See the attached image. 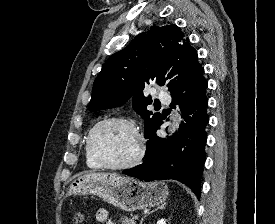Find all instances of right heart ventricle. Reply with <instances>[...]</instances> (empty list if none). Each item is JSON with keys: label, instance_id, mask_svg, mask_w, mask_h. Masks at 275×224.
Returning <instances> with one entry per match:
<instances>
[{"label": "right heart ventricle", "instance_id": "obj_1", "mask_svg": "<svg viewBox=\"0 0 275 224\" xmlns=\"http://www.w3.org/2000/svg\"><path fill=\"white\" fill-rule=\"evenodd\" d=\"M84 153H85L86 165L90 169H99V168H101V166L94 160V158L91 156V154L88 150L87 139H86L85 146H84Z\"/></svg>", "mask_w": 275, "mask_h": 224}]
</instances>
